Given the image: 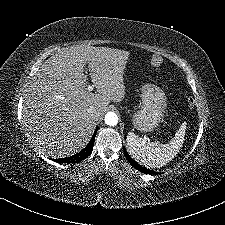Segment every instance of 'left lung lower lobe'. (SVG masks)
Listing matches in <instances>:
<instances>
[{
	"mask_svg": "<svg viewBox=\"0 0 225 225\" xmlns=\"http://www.w3.org/2000/svg\"><path fill=\"white\" fill-rule=\"evenodd\" d=\"M124 152H125V156L127 157L128 161L130 162V164L132 166H134L139 171H142L143 173H150L149 170H146L145 168H141V166H139V164H137L134 161H132V159L130 158V156L128 155V153L126 151H124Z\"/></svg>",
	"mask_w": 225,
	"mask_h": 225,
	"instance_id": "1",
	"label": "left lung lower lobe"
}]
</instances>
